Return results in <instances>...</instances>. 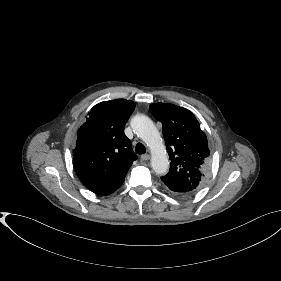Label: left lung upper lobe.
Masks as SVG:
<instances>
[{
    "instance_id": "left-lung-upper-lobe-1",
    "label": "left lung upper lobe",
    "mask_w": 281,
    "mask_h": 281,
    "mask_svg": "<svg viewBox=\"0 0 281 281\" xmlns=\"http://www.w3.org/2000/svg\"><path fill=\"white\" fill-rule=\"evenodd\" d=\"M152 115L162 123L163 136L171 163L161 180L173 193L194 195L206 181L211 166L206 135L194 114L173 104L154 103Z\"/></svg>"
}]
</instances>
